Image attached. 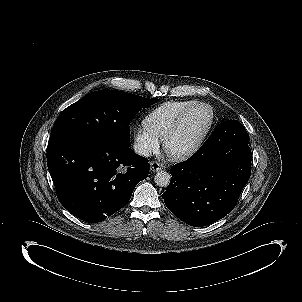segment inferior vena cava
<instances>
[{
	"instance_id": "inferior-vena-cava-1",
	"label": "inferior vena cava",
	"mask_w": 302,
	"mask_h": 302,
	"mask_svg": "<svg viewBox=\"0 0 302 302\" xmlns=\"http://www.w3.org/2000/svg\"><path fill=\"white\" fill-rule=\"evenodd\" d=\"M133 149L135 153L145 157H150L152 155V150L142 143H135Z\"/></svg>"
}]
</instances>
